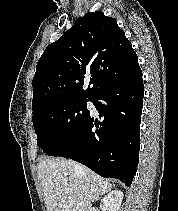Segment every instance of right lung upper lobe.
Segmentation results:
<instances>
[{"mask_svg":"<svg viewBox=\"0 0 178 211\" xmlns=\"http://www.w3.org/2000/svg\"><path fill=\"white\" fill-rule=\"evenodd\" d=\"M138 68V57L116 20L101 11L87 13L40 57L32 81L33 115L56 102L92 99Z\"/></svg>","mask_w":178,"mask_h":211,"instance_id":"cb5924a9","label":"right lung upper lobe"}]
</instances>
